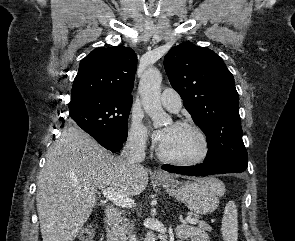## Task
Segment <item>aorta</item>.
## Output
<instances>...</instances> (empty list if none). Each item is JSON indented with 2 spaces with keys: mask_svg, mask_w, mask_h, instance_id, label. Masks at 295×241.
<instances>
[{
  "mask_svg": "<svg viewBox=\"0 0 295 241\" xmlns=\"http://www.w3.org/2000/svg\"><path fill=\"white\" fill-rule=\"evenodd\" d=\"M162 74L155 67H149L142 75L139 82V93L145 112L150 116L155 128L168 125L172 122L171 117L166 114L161 106ZM152 231L147 232L144 241H155Z\"/></svg>",
  "mask_w": 295,
  "mask_h": 241,
  "instance_id": "obj_1",
  "label": "aorta"
}]
</instances>
